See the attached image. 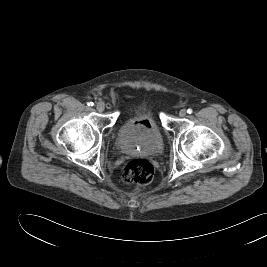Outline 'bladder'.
Wrapping results in <instances>:
<instances>
[{
  "instance_id": "31cf9c89",
  "label": "bladder",
  "mask_w": 267,
  "mask_h": 267,
  "mask_svg": "<svg viewBox=\"0 0 267 267\" xmlns=\"http://www.w3.org/2000/svg\"><path fill=\"white\" fill-rule=\"evenodd\" d=\"M152 122L149 131H141L137 128L133 118L125 119L118 128L116 147L127 155L141 154L145 156H158L163 152L164 141L162 133L151 115Z\"/></svg>"
}]
</instances>
